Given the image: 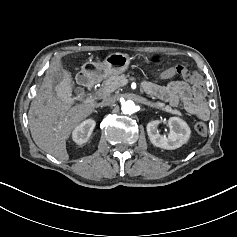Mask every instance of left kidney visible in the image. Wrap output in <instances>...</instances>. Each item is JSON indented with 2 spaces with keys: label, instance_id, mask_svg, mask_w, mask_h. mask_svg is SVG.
<instances>
[{
  "label": "left kidney",
  "instance_id": "left-kidney-1",
  "mask_svg": "<svg viewBox=\"0 0 237 237\" xmlns=\"http://www.w3.org/2000/svg\"><path fill=\"white\" fill-rule=\"evenodd\" d=\"M160 121L154 120L147 124V133L151 143L167 150H174L187 143L191 130L188 124L179 117H171L168 121L170 132L168 137L160 135L158 125Z\"/></svg>",
  "mask_w": 237,
  "mask_h": 237
}]
</instances>
